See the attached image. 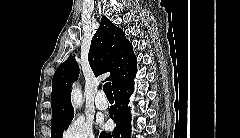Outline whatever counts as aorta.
<instances>
[{"label": "aorta", "mask_w": 240, "mask_h": 138, "mask_svg": "<svg viewBox=\"0 0 240 138\" xmlns=\"http://www.w3.org/2000/svg\"><path fill=\"white\" fill-rule=\"evenodd\" d=\"M72 102L75 107H79L82 104V94L78 86H75L72 91Z\"/></svg>", "instance_id": "1"}]
</instances>
